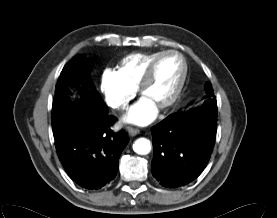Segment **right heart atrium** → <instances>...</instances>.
Segmentation results:
<instances>
[{"label": "right heart atrium", "instance_id": "right-heart-atrium-1", "mask_svg": "<svg viewBox=\"0 0 277 218\" xmlns=\"http://www.w3.org/2000/svg\"><path fill=\"white\" fill-rule=\"evenodd\" d=\"M100 90L106 104L114 109H125L136 95V89L127 84L118 71L111 68L103 70Z\"/></svg>", "mask_w": 277, "mask_h": 218}]
</instances>
